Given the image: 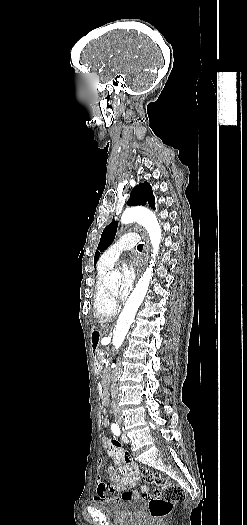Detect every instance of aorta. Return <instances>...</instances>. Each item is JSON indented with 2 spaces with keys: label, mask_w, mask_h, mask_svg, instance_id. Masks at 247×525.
Returning a JSON list of instances; mask_svg holds the SVG:
<instances>
[{
  "label": "aorta",
  "mask_w": 247,
  "mask_h": 525,
  "mask_svg": "<svg viewBox=\"0 0 247 525\" xmlns=\"http://www.w3.org/2000/svg\"><path fill=\"white\" fill-rule=\"evenodd\" d=\"M131 222H137L142 225L148 232L151 245L153 247L152 260L150 261L149 267L146 269L144 274L137 282L133 292L129 296L125 307L123 308L117 324L113 330L114 336L112 344L115 349H119L122 345L126 334L132 324L135 314L144 300V297L148 291V287L153 276V266L155 264V257L158 254L159 245L161 242V227L158 223L157 217L150 210L142 207H133L126 209L121 216V223L128 224ZM119 279V274L111 273L107 282L109 284L114 283Z\"/></svg>",
  "instance_id": "1"
}]
</instances>
